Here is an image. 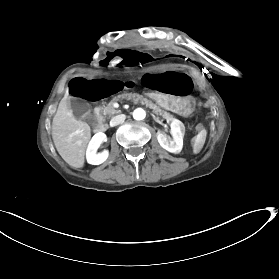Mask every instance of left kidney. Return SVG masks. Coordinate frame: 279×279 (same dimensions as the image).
Segmentation results:
<instances>
[{
  "instance_id": "left-kidney-1",
  "label": "left kidney",
  "mask_w": 279,
  "mask_h": 279,
  "mask_svg": "<svg viewBox=\"0 0 279 279\" xmlns=\"http://www.w3.org/2000/svg\"><path fill=\"white\" fill-rule=\"evenodd\" d=\"M184 130V125L179 120L173 119L171 121V137L173 140L168 141L162 132L157 131V141L159 145L166 151L173 154H179L183 147L182 138Z\"/></svg>"
}]
</instances>
